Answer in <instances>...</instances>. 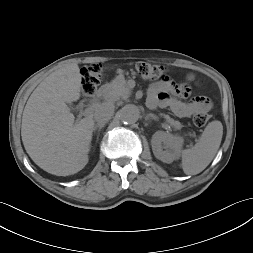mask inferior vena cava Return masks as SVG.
<instances>
[{
	"instance_id": "obj_1",
	"label": "inferior vena cava",
	"mask_w": 253,
	"mask_h": 253,
	"mask_svg": "<svg viewBox=\"0 0 253 253\" xmlns=\"http://www.w3.org/2000/svg\"><path fill=\"white\" fill-rule=\"evenodd\" d=\"M114 113V105L109 102L99 105L94 112V119L97 124H105Z\"/></svg>"
}]
</instances>
